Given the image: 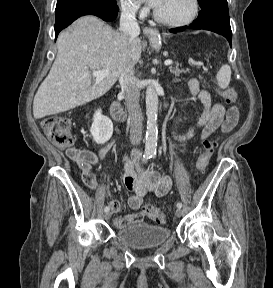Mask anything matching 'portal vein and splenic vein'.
<instances>
[{
	"label": "portal vein and splenic vein",
	"mask_w": 273,
	"mask_h": 288,
	"mask_svg": "<svg viewBox=\"0 0 273 288\" xmlns=\"http://www.w3.org/2000/svg\"><path fill=\"white\" fill-rule=\"evenodd\" d=\"M164 64L166 66L171 65L172 64V60H166L164 62ZM93 77L96 78L97 82H100L102 79H104L105 77H107L109 75V70H99V71H94L92 73Z\"/></svg>",
	"instance_id": "portal-vein-and-splenic-vein-1"
}]
</instances>
